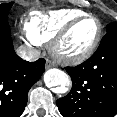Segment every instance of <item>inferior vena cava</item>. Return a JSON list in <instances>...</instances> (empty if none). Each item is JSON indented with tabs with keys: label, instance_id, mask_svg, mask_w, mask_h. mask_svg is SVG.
<instances>
[{
	"label": "inferior vena cava",
	"instance_id": "obj_1",
	"mask_svg": "<svg viewBox=\"0 0 117 117\" xmlns=\"http://www.w3.org/2000/svg\"><path fill=\"white\" fill-rule=\"evenodd\" d=\"M17 54L27 61H36L40 56L39 51L25 46L19 47Z\"/></svg>",
	"mask_w": 117,
	"mask_h": 117
}]
</instances>
